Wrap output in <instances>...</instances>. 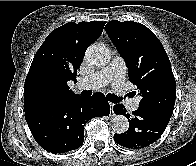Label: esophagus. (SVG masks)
<instances>
[{
  "instance_id": "34e87169",
  "label": "esophagus",
  "mask_w": 196,
  "mask_h": 166,
  "mask_svg": "<svg viewBox=\"0 0 196 166\" xmlns=\"http://www.w3.org/2000/svg\"><path fill=\"white\" fill-rule=\"evenodd\" d=\"M109 106H110V110H111V113H112V115H114V103H112V102H109Z\"/></svg>"
}]
</instances>
